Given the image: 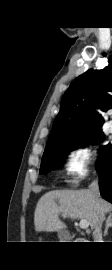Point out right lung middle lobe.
Here are the masks:
<instances>
[{
  "label": "right lung middle lobe",
  "instance_id": "1",
  "mask_svg": "<svg viewBox=\"0 0 112 270\" xmlns=\"http://www.w3.org/2000/svg\"><path fill=\"white\" fill-rule=\"evenodd\" d=\"M105 138L100 129L91 131L77 139L65 143H58L54 145H47L42 157L40 171L44 174L48 171L62 167L63 159L68 154L78 147H85V143H98ZM85 141V142H84ZM112 148V144H108L99 148V158L96 162L98 168L103 162L107 152Z\"/></svg>",
  "mask_w": 112,
  "mask_h": 270
}]
</instances>
